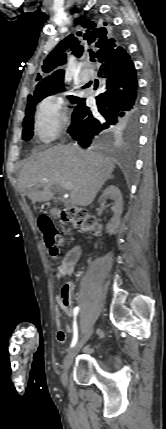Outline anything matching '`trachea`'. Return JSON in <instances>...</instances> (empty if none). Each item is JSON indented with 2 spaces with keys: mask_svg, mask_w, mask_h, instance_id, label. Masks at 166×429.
Instances as JSON below:
<instances>
[{
  "mask_svg": "<svg viewBox=\"0 0 166 429\" xmlns=\"http://www.w3.org/2000/svg\"><path fill=\"white\" fill-rule=\"evenodd\" d=\"M90 60H91V62H95V57L91 56Z\"/></svg>",
  "mask_w": 166,
  "mask_h": 429,
  "instance_id": "obj_1",
  "label": "trachea"
}]
</instances>
